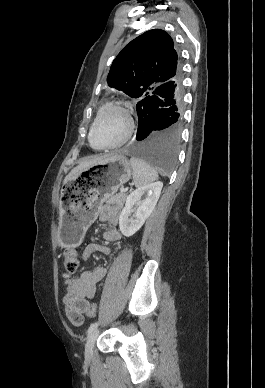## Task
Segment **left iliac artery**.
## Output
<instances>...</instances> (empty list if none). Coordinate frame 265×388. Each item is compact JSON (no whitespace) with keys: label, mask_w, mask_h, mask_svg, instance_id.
<instances>
[{"label":"left iliac artery","mask_w":265,"mask_h":388,"mask_svg":"<svg viewBox=\"0 0 265 388\" xmlns=\"http://www.w3.org/2000/svg\"><path fill=\"white\" fill-rule=\"evenodd\" d=\"M99 323L98 322H95V323H92L88 329V333H90L91 331H93L94 329H96L98 327Z\"/></svg>","instance_id":"1"}]
</instances>
